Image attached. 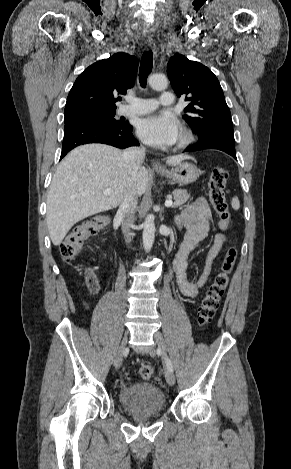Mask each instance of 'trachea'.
Listing matches in <instances>:
<instances>
[{"mask_svg": "<svg viewBox=\"0 0 291 469\" xmlns=\"http://www.w3.org/2000/svg\"><path fill=\"white\" fill-rule=\"evenodd\" d=\"M153 67V53L151 50L145 51L142 55L139 69V82L142 88L146 87L147 78Z\"/></svg>", "mask_w": 291, "mask_h": 469, "instance_id": "3493384b", "label": "trachea"}]
</instances>
